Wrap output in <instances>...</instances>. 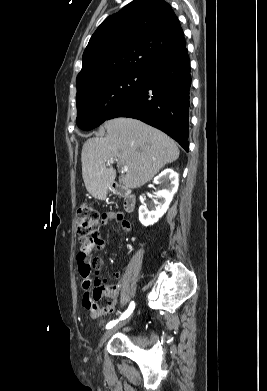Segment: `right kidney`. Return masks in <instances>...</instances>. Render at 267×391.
<instances>
[{
  "label": "right kidney",
  "instance_id": "1",
  "mask_svg": "<svg viewBox=\"0 0 267 391\" xmlns=\"http://www.w3.org/2000/svg\"><path fill=\"white\" fill-rule=\"evenodd\" d=\"M154 183H164L165 188L156 193L155 211H149L144 205L139 207V220L144 226L153 225L166 213L178 190L179 175L172 169H165L154 178Z\"/></svg>",
  "mask_w": 267,
  "mask_h": 391
}]
</instances>
